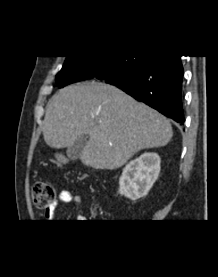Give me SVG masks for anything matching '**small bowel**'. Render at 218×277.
<instances>
[{
	"mask_svg": "<svg viewBox=\"0 0 218 277\" xmlns=\"http://www.w3.org/2000/svg\"><path fill=\"white\" fill-rule=\"evenodd\" d=\"M82 202V197L78 194H74L68 189L61 190L55 201L45 209L44 215L47 220H52L56 215L57 207L60 203L72 204L79 206Z\"/></svg>",
	"mask_w": 218,
	"mask_h": 277,
	"instance_id": "obj_1",
	"label": "small bowel"
}]
</instances>
